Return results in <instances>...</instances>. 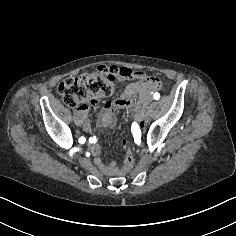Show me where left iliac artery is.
Returning <instances> with one entry per match:
<instances>
[{
    "label": "left iliac artery",
    "instance_id": "44dca946",
    "mask_svg": "<svg viewBox=\"0 0 236 236\" xmlns=\"http://www.w3.org/2000/svg\"><path fill=\"white\" fill-rule=\"evenodd\" d=\"M153 98H154L155 100H159L160 94H159L158 92L154 93Z\"/></svg>",
    "mask_w": 236,
    "mask_h": 236
}]
</instances>
